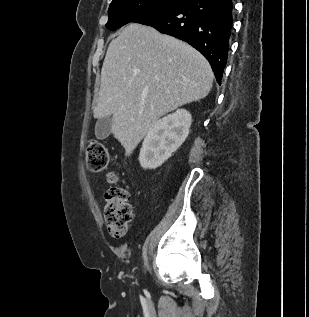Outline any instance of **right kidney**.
Here are the masks:
<instances>
[{
  "label": "right kidney",
  "mask_w": 309,
  "mask_h": 317,
  "mask_svg": "<svg viewBox=\"0 0 309 317\" xmlns=\"http://www.w3.org/2000/svg\"><path fill=\"white\" fill-rule=\"evenodd\" d=\"M191 123V114L185 109H178L155 122L140 150L141 167L153 170L161 166L186 140Z\"/></svg>",
  "instance_id": "obj_1"
}]
</instances>
